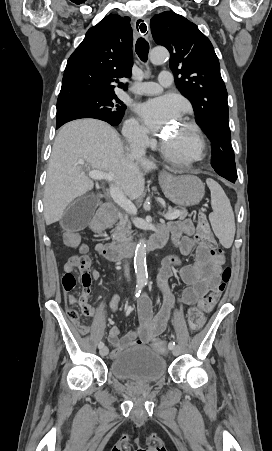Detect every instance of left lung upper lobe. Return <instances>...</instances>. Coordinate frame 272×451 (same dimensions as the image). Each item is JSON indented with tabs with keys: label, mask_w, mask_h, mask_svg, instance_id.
I'll use <instances>...</instances> for the list:
<instances>
[{
	"label": "left lung upper lobe",
	"mask_w": 272,
	"mask_h": 451,
	"mask_svg": "<svg viewBox=\"0 0 272 451\" xmlns=\"http://www.w3.org/2000/svg\"><path fill=\"white\" fill-rule=\"evenodd\" d=\"M151 31L155 42L169 50L175 83L191 101L196 122L212 140V167L224 178H237L227 90L210 40L194 23L172 11L155 15Z\"/></svg>",
	"instance_id": "obj_1"
}]
</instances>
